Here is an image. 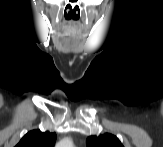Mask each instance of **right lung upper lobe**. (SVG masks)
<instances>
[{"label":"right lung upper lobe","instance_id":"obj_1","mask_svg":"<svg viewBox=\"0 0 163 147\" xmlns=\"http://www.w3.org/2000/svg\"><path fill=\"white\" fill-rule=\"evenodd\" d=\"M55 140V133L32 130L23 136L16 147H53Z\"/></svg>","mask_w":163,"mask_h":147}]
</instances>
